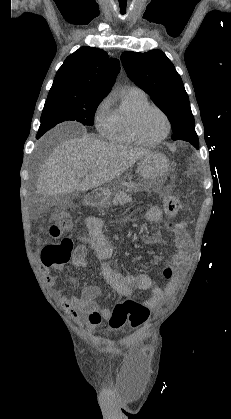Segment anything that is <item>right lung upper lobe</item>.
Wrapping results in <instances>:
<instances>
[{
	"instance_id": "1",
	"label": "right lung upper lobe",
	"mask_w": 231,
	"mask_h": 419,
	"mask_svg": "<svg viewBox=\"0 0 231 419\" xmlns=\"http://www.w3.org/2000/svg\"><path fill=\"white\" fill-rule=\"evenodd\" d=\"M119 70L118 59L109 58L104 50L84 46L65 59L50 90H67L78 97L104 98Z\"/></svg>"
}]
</instances>
